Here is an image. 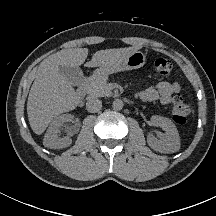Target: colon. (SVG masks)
Here are the masks:
<instances>
[{"mask_svg":"<svg viewBox=\"0 0 216 216\" xmlns=\"http://www.w3.org/2000/svg\"><path fill=\"white\" fill-rule=\"evenodd\" d=\"M154 68L159 76L166 77L170 75L173 69V63L168 58L158 57L154 60ZM189 107L183 98L176 95L172 102V118L178 125H185L189 118Z\"/></svg>","mask_w":216,"mask_h":216,"instance_id":"obj_1","label":"colon"}]
</instances>
